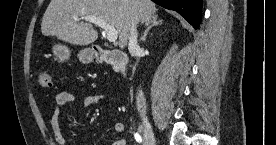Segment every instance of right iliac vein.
Listing matches in <instances>:
<instances>
[{
	"mask_svg": "<svg viewBox=\"0 0 276 145\" xmlns=\"http://www.w3.org/2000/svg\"><path fill=\"white\" fill-rule=\"evenodd\" d=\"M144 145H155L156 139L152 127L146 117L142 118Z\"/></svg>",
	"mask_w": 276,
	"mask_h": 145,
	"instance_id": "1",
	"label": "right iliac vein"
}]
</instances>
